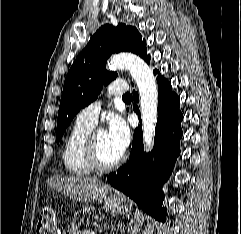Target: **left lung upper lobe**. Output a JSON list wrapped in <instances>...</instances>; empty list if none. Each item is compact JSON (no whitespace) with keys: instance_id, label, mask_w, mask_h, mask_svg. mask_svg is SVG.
I'll use <instances>...</instances> for the list:
<instances>
[{"instance_id":"obj_1","label":"left lung upper lobe","mask_w":241,"mask_h":234,"mask_svg":"<svg viewBox=\"0 0 241 234\" xmlns=\"http://www.w3.org/2000/svg\"><path fill=\"white\" fill-rule=\"evenodd\" d=\"M135 27L119 23L101 26L87 46L78 55L64 82L58 119L57 137L59 142L65 129L79 110L93 102L117 73L105 68L107 59L114 52H132L143 59L147 55L146 41Z\"/></svg>"}]
</instances>
